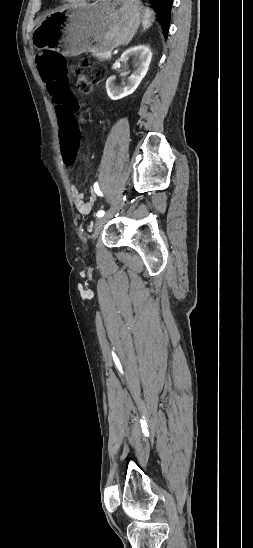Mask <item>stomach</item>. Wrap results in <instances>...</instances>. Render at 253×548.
Segmentation results:
<instances>
[{"instance_id":"1","label":"stomach","mask_w":253,"mask_h":548,"mask_svg":"<svg viewBox=\"0 0 253 548\" xmlns=\"http://www.w3.org/2000/svg\"><path fill=\"white\" fill-rule=\"evenodd\" d=\"M144 9L139 0H97L68 5L48 17L33 33L37 47L56 45L66 56L106 52L128 44Z\"/></svg>"}]
</instances>
